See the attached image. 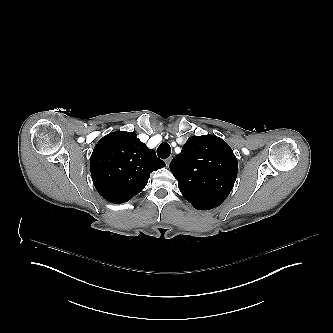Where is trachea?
Here are the masks:
<instances>
[{
  "mask_svg": "<svg viewBox=\"0 0 333 333\" xmlns=\"http://www.w3.org/2000/svg\"><path fill=\"white\" fill-rule=\"evenodd\" d=\"M170 153H171V148L169 144L166 142L161 143L157 149V154L162 159L168 158Z\"/></svg>",
  "mask_w": 333,
  "mask_h": 333,
  "instance_id": "1",
  "label": "trachea"
}]
</instances>
